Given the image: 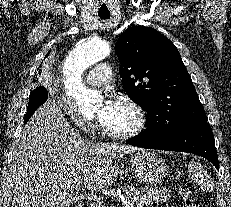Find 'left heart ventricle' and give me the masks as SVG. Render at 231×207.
Masks as SVG:
<instances>
[{"instance_id":"1","label":"left heart ventricle","mask_w":231,"mask_h":207,"mask_svg":"<svg viewBox=\"0 0 231 207\" xmlns=\"http://www.w3.org/2000/svg\"><path fill=\"white\" fill-rule=\"evenodd\" d=\"M103 124L114 132H126L135 127L136 116L129 107L117 103L115 110Z\"/></svg>"}]
</instances>
